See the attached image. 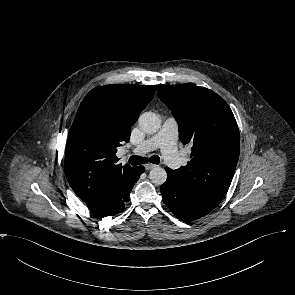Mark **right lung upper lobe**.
<instances>
[{
	"label": "right lung upper lobe",
	"instance_id": "obj_1",
	"mask_svg": "<svg viewBox=\"0 0 295 295\" xmlns=\"http://www.w3.org/2000/svg\"><path fill=\"white\" fill-rule=\"evenodd\" d=\"M157 85L112 84L91 90L82 101L69 131L65 149L66 178L77 196L89 204L99 191L132 167L117 163V147L128 142L131 126L152 100ZM101 94L108 112L103 118L89 115L90 96Z\"/></svg>",
	"mask_w": 295,
	"mask_h": 295
}]
</instances>
